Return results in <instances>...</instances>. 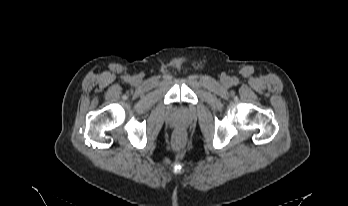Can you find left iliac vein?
I'll use <instances>...</instances> for the list:
<instances>
[{"label":"left iliac vein","instance_id":"obj_1","mask_svg":"<svg viewBox=\"0 0 348 206\" xmlns=\"http://www.w3.org/2000/svg\"><path fill=\"white\" fill-rule=\"evenodd\" d=\"M223 82H224V83H227V82H228V79H227V78H224V79H223Z\"/></svg>","mask_w":348,"mask_h":206}]
</instances>
